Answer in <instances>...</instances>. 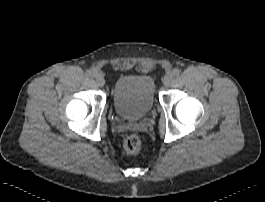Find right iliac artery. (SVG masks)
I'll return each mask as SVG.
<instances>
[{
    "label": "right iliac artery",
    "instance_id": "1",
    "mask_svg": "<svg viewBox=\"0 0 265 202\" xmlns=\"http://www.w3.org/2000/svg\"><path fill=\"white\" fill-rule=\"evenodd\" d=\"M95 75V72L91 69L87 70V76L93 77Z\"/></svg>",
    "mask_w": 265,
    "mask_h": 202
}]
</instances>
